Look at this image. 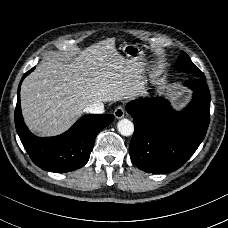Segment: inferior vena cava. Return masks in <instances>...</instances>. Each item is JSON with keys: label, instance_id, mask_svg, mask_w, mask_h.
<instances>
[{"label": "inferior vena cava", "instance_id": "inferior-vena-cava-1", "mask_svg": "<svg viewBox=\"0 0 228 228\" xmlns=\"http://www.w3.org/2000/svg\"><path fill=\"white\" fill-rule=\"evenodd\" d=\"M84 112L91 114L104 113V104L102 102L94 103L84 109Z\"/></svg>", "mask_w": 228, "mask_h": 228}]
</instances>
